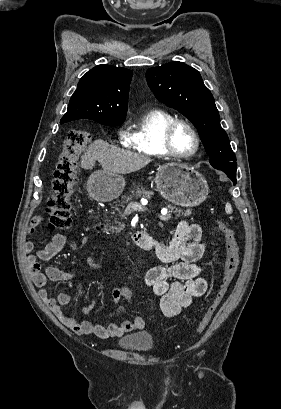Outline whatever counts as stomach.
<instances>
[{
    "mask_svg": "<svg viewBox=\"0 0 281 409\" xmlns=\"http://www.w3.org/2000/svg\"><path fill=\"white\" fill-rule=\"evenodd\" d=\"M155 184L164 198L180 207L201 205L209 192L206 178L185 162H166L163 166H159ZM124 186L123 176L116 172H104V170H95L87 180L89 196L100 202L117 198Z\"/></svg>",
    "mask_w": 281,
    "mask_h": 409,
    "instance_id": "stomach-1",
    "label": "stomach"
}]
</instances>
